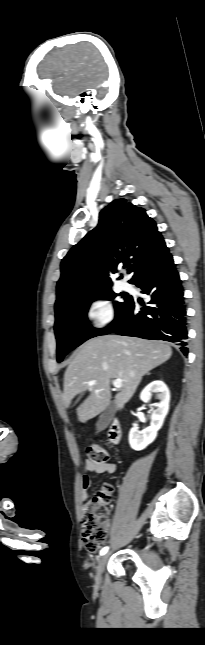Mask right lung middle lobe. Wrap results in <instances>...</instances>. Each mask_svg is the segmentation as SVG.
Listing matches in <instances>:
<instances>
[{
	"label": "right lung middle lobe",
	"instance_id": "right-lung-middle-lobe-1",
	"mask_svg": "<svg viewBox=\"0 0 205 645\" xmlns=\"http://www.w3.org/2000/svg\"><path fill=\"white\" fill-rule=\"evenodd\" d=\"M116 296L118 294L114 293L111 289L84 295L76 300L73 305L56 313L54 329L57 339L58 362H61L69 351L86 340L99 336L107 329H95L91 327L88 323L87 311L92 301L98 298L113 300ZM129 300L130 298H126L123 302H114L116 316L111 325L117 321Z\"/></svg>",
	"mask_w": 205,
	"mask_h": 645
}]
</instances>
